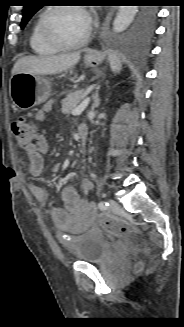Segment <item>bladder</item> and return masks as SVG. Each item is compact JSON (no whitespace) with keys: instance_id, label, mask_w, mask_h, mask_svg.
Segmentation results:
<instances>
[{"instance_id":"31cf9c89","label":"bladder","mask_w":184,"mask_h":327,"mask_svg":"<svg viewBox=\"0 0 184 327\" xmlns=\"http://www.w3.org/2000/svg\"><path fill=\"white\" fill-rule=\"evenodd\" d=\"M68 251L77 261L101 265L112 249L104 234L98 230H88L75 237Z\"/></svg>"}]
</instances>
